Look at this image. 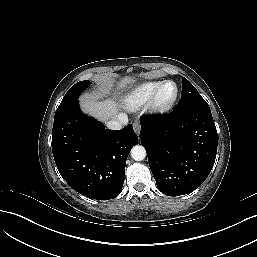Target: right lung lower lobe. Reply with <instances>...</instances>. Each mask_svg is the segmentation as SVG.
<instances>
[{
	"label": "right lung lower lobe",
	"mask_w": 257,
	"mask_h": 257,
	"mask_svg": "<svg viewBox=\"0 0 257 257\" xmlns=\"http://www.w3.org/2000/svg\"><path fill=\"white\" fill-rule=\"evenodd\" d=\"M137 142L131 124L105 129L83 114L78 102L54 118L52 152L58 171L75 191L92 199L119 195L127 156Z\"/></svg>",
	"instance_id": "right-lung-lower-lobe-1"
}]
</instances>
